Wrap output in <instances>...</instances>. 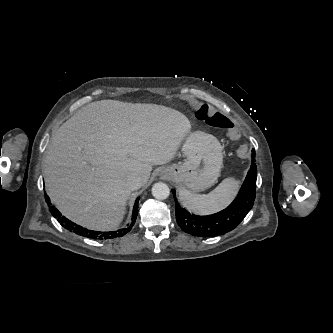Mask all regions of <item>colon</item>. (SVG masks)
<instances>
[{
  "instance_id": "colon-1",
  "label": "colon",
  "mask_w": 333,
  "mask_h": 333,
  "mask_svg": "<svg viewBox=\"0 0 333 333\" xmlns=\"http://www.w3.org/2000/svg\"><path fill=\"white\" fill-rule=\"evenodd\" d=\"M192 110L197 119L206 122L208 125L215 128L226 129L227 131L234 130L238 133L233 123L226 115L210 109L208 105H195L192 107Z\"/></svg>"
}]
</instances>
